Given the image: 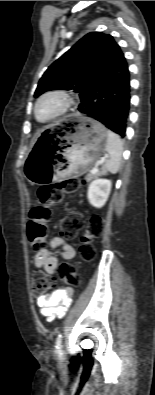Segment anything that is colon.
Returning <instances> with one entry per match:
<instances>
[{"label":"colon","instance_id":"5ec220e1","mask_svg":"<svg viewBox=\"0 0 155 395\" xmlns=\"http://www.w3.org/2000/svg\"><path fill=\"white\" fill-rule=\"evenodd\" d=\"M79 187V182L75 179H68L61 183L43 185L39 187L37 196L40 207L35 209L27 226V235L30 244L37 249H44L46 242L45 218L52 206L62 202L64 195L75 192ZM84 226V218L78 212H71L60 223V231L64 237L74 238ZM103 233V221L99 216H93L87 223L85 233L79 246L81 260L90 262L95 258L96 251L93 241L98 239ZM59 280L68 281L71 286H77L78 268H71L64 264L58 269ZM32 290L36 295H43L49 291L53 285L52 279L42 271H35L32 280Z\"/></svg>","mask_w":155,"mask_h":395}]
</instances>
